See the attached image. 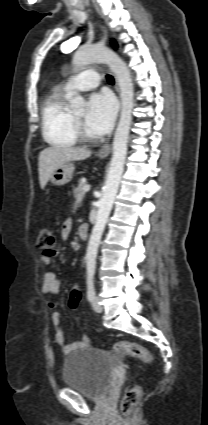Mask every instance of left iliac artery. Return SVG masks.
<instances>
[{
  "instance_id": "left-iliac-artery-1",
  "label": "left iliac artery",
  "mask_w": 208,
  "mask_h": 425,
  "mask_svg": "<svg viewBox=\"0 0 208 425\" xmlns=\"http://www.w3.org/2000/svg\"><path fill=\"white\" fill-rule=\"evenodd\" d=\"M95 297V285L93 279L87 281V298L92 301Z\"/></svg>"
}]
</instances>
